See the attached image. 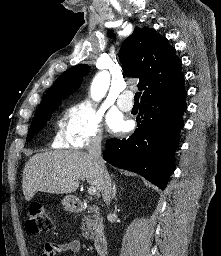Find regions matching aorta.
<instances>
[{
	"label": "aorta",
	"mask_w": 221,
	"mask_h": 256,
	"mask_svg": "<svg viewBox=\"0 0 221 256\" xmlns=\"http://www.w3.org/2000/svg\"><path fill=\"white\" fill-rule=\"evenodd\" d=\"M110 76L108 72L102 71L93 79L91 85V96L94 100L103 98L109 88Z\"/></svg>",
	"instance_id": "obj_1"
}]
</instances>
